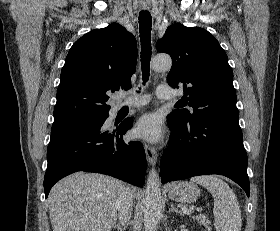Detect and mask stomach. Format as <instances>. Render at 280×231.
Returning <instances> with one entry per match:
<instances>
[{
	"instance_id": "0dacf381",
	"label": "stomach",
	"mask_w": 280,
	"mask_h": 231,
	"mask_svg": "<svg viewBox=\"0 0 280 231\" xmlns=\"http://www.w3.org/2000/svg\"><path fill=\"white\" fill-rule=\"evenodd\" d=\"M168 195L173 201L193 203V201L198 199L200 189L198 185L192 183V181H179V183H171Z\"/></svg>"
}]
</instances>
